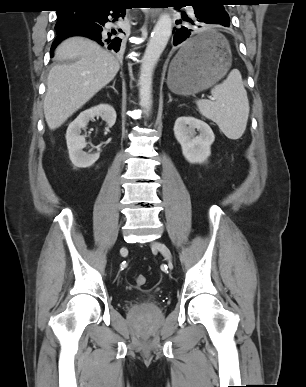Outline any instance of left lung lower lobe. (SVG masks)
Segmentation results:
<instances>
[{
    "label": "left lung lower lobe",
    "mask_w": 306,
    "mask_h": 387,
    "mask_svg": "<svg viewBox=\"0 0 306 387\" xmlns=\"http://www.w3.org/2000/svg\"><path fill=\"white\" fill-rule=\"evenodd\" d=\"M176 7L177 9L182 8L183 6H192V16L190 19L187 14L182 15V20H177L176 24H181L183 21L190 22L192 25L197 26L198 22L206 23V24H216L218 26L229 27L230 19L221 18L215 7L208 2H182ZM200 27V26H198ZM192 29L187 26L180 25L177 28H174L173 35V44L178 45L182 43V57L184 60H191L193 58H197L200 55H203L212 46V41L209 38H204L200 41H192L190 39V35L192 33Z\"/></svg>",
    "instance_id": "left-lung-lower-lobe-1"
}]
</instances>
